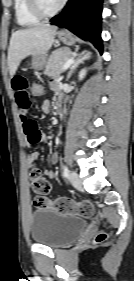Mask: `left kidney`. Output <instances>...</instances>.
I'll list each match as a JSON object with an SVG mask.
<instances>
[{
    "label": "left kidney",
    "instance_id": "5707ae66",
    "mask_svg": "<svg viewBox=\"0 0 134 281\" xmlns=\"http://www.w3.org/2000/svg\"><path fill=\"white\" fill-rule=\"evenodd\" d=\"M86 71V68H84L79 72V80H82L84 78V76L86 75Z\"/></svg>",
    "mask_w": 134,
    "mask_h": 281
}]
</instances>
